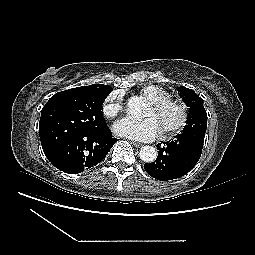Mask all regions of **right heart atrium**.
<instances>
[{"label": "right heart atrium", "mask_w": 255, "mask_h": 255, "mask_svg": "<svg viewBox=\"0 0 255 255\" xmlns=\"http://www.w3.org/2000/svg\"><path fill=\"white\" fill-rule=\"evenodd\" d=\"M123 100L122 94L119 92H112L105 100L102 112L105 117L109 119H113L118 116L121 112H123Z\"/></svg>", "instance_id": "right-heart-atrium-1"}]
</instances>
